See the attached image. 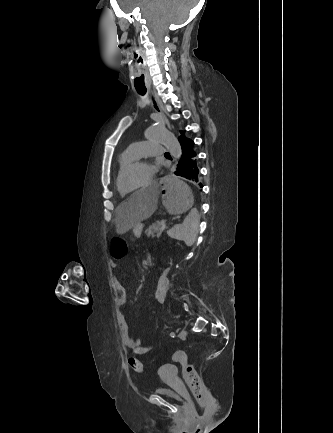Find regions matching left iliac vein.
<instances>
[{
    "label": "left iliac vein",
    "mask_w": 333,
    "mask_h": 433,
    "mask_svg": "<svg viewBox=\"0 0 333 433\" xmlns=\"http://www.w3.org/2000/svg\"><path fill=\"white\" fill-rule=\"evenodd\" d=\"M186 336H187V332H186L185 330L180 331V333H179V337H180L181 339H185Z\"/></svg>",
    "instance_id": "4c4485c4"
}]
</instances>
